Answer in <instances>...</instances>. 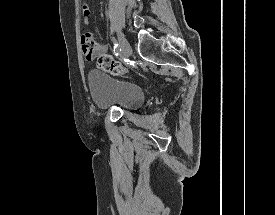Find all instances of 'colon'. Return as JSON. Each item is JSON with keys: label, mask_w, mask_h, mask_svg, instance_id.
<instances>
[{"label": "colon", "mask_w": 275, "mask_h": 215, "mask_svg": "<svg viewBox=\"0 0 275 215\" xmlns=\"http://www.w3.org/2000/svg\"><path fill=\"white\" fill-rule=\"evenodd\" d=\"M97 67L114 76H118L126 71V69L121 65L119 61L115 60L108 54H102L98 56Z\"/></svg>", "instance_id": "colon-1"}]
</instances>
